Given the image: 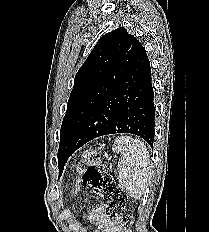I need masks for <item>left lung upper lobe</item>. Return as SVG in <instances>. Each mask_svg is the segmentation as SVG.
Listing matches in <instances>:
<instances>
[{"mask_svg":"<svg viewBox=\"0 0 209 232\" xmlns=\"http://www.w3.org/2000/svg\"><path fill=\"white\" fill-rule=\"evenodd\" d=\"M141 43L123 27L100 38L74 80L60 130L58 165L60 174L70 157L69 148L78 128L100 105L130 69Z\"/></svg>","mask_w":209,"mask_h":232,"instance_id":"obj_1","label":"left lung upper lobe"}]
</instances>
